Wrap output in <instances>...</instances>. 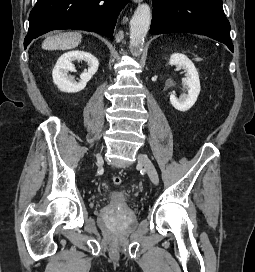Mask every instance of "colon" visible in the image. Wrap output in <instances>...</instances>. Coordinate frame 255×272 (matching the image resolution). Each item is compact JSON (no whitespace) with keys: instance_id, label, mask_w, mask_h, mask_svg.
I'll return each instance as SVG.
<instances>
[{"instance_id":"1","label":"colon","mask_w":255,"mask_h":272,"mask_svg":"<svg viewBox=\"0 0 255 272\" xmlns=\"http://www.w3.org/2000/svg\"><path fill=\"white\" fill-rule=\"evenodd\" d=\"M112 182H113L114 185H120L121 182H122V179H121V177H119V176H114V177L112 178Z\"/></svg>"}]
</instances>
